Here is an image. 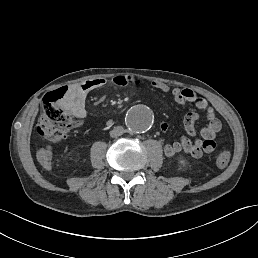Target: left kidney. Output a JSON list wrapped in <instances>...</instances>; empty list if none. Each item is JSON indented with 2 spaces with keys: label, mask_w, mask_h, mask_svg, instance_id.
Returning <instances> with one entry per match:
<instances>
[{
  "label": "left kidney",
  "mask_w": 258,
  "mask_h": 258,
  "mask_svg": "<svg viewBox=\"0 0 258 258\" xmlns=\"http://www.w3.org/2000/svg\"><path fill=\"white\" fill-rule=\"evenodd\" d=\"M180 163L182 164V165H186V161L185 160H180Z\"/></svg>",
  "instance_id": "obj_1"
}]
</instances>
